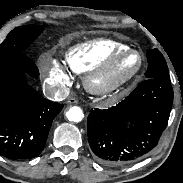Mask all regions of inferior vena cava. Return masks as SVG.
I'll return each instance as SVG.
<instances>
[{
    "label": "inferior vena cava",
    "mask_w": 183,
    "mask_h": 183,
    "mask_svg": "<svg viewBox=\"0 0 183 183\" xmlns=\"http://www.w3.org/2000/svg\"><path fill=\"white\" fill-rule=\"evenodd\" d=\"M43 93L52 101H62L69 95V89L66 86H47Z\"/></svg>",
    "instance_id": "602c4592"
}]
</instances>
